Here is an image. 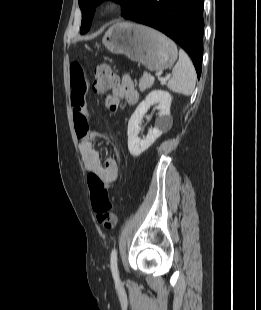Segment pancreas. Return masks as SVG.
Listing matches in <instances>:
<instances>
[{
  "label": "pancreas",
  "instance_id": "obj_1",
  "mask_svg": "<svg viewBox=\"0 0 261 310\" xmlns=\"http://www.w3.org/2000/svg\"><path fill=\"white\" fill-rule=\"evenodd\" d=\"M153 83L154 78L150 74L145 72L139 81V90L143 92L146 89L150 88Z\"/></svg>",
  "mask_w": 261,
  "mask_h": 310
}]
</instances>
